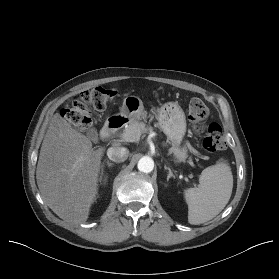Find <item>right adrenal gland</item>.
<instances>
[{
	"label": "right adrenal gland",
	"instance_id": "obj_1",
	"mask_svg": "<svg viewBox=\"0 0 279 279\" xmlns=\"http://www.w3.org/2000/svg\"><path fill=\"white\" fill-rule=\"evenodd\" d=\"M105 163L108 165V167L114 166V163L110 162L109 160L105 161ZM104 165H102L103 167Z\"/></svg>",
	"mask_w": 279,
	"mask_h": 279
}]
</instances>
